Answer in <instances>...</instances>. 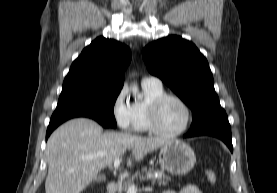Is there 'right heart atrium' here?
<instances>
[{
  "label": "right heart atrium",
  "instance_id": "obj_1",
  "mask_svg": "<svg viewBox=\"0 0 277 193\" xmlns=\"http://www.w3.org/2000/svg\"><path fill=\"white\" fill-rule=\"evenodd\" d=\"M111 112L115 123L120 129L126 131L134 129L133 107L128 101L125 88L120 89L116 94L112 102Z\"/></svg>",
  "mask_w": 277,
  "mask_h": 193
}]
</instances>
